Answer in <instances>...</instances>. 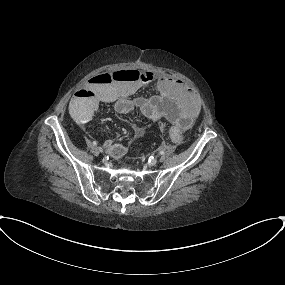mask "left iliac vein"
<instances>
[{
    "label": "left iliac vein",
    "instance_id": "obj_1",
    "mask_svg": "<svg viewBox=\"0 0 285 285\" xmlns=\"http://www.w3.org/2000/svg\"><path fill=\"white\" fill-rule=\"evenodd\" d=\"M157 162H158V161H157V159H156V158H154V159L150 160V162H149V163H150V165H153V166H154V165H156V164H157Z\"/></svg>",
    "mask_w": 285,
    "mask_h": 285
}]
</instances>
